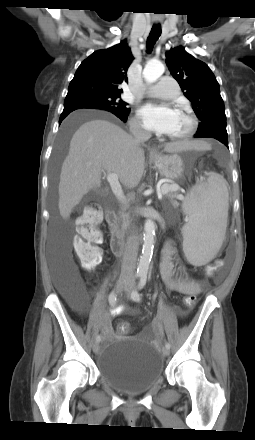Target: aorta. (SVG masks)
<instances>
[{
    "label": "aorta",
    "instance_id": "aorta-1",
    "mask_svg": "<svg viewBox=\"0 0 255 440\" xmlns=\"http://www.w3.org/2000/svg\"><path fill=\"white\" fill-rule=\"evenodd\" d=\"M165 67L160 61H149L144 67L143 77L147 83L156 82L164 73ZM155 223L147 219L144 224L142 254L139 259L137 273L145 275L148 272L154 249Z\"/></svg>",
    "mask_w": 255,
    "mask_h": 440
}]
</instances>
